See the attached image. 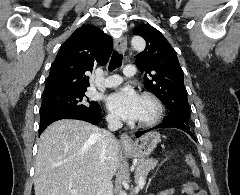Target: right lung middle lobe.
Returning a JSON list of instances; mask_svg holds the SVG:
<instances>
[{
    "instance_id": "right-lung-middle-lobe-1",
    "label": "right lung middle lobe",
    "mask_w": 240,
    "mask_h": 195,
    "mask_svg": "<svg viewBox=\"0 0 240 195\" xmlns=\"http://www.w3.org/2000/svg\"><path fill=\"white\" fill-rule=\"evenodd\" d=\"M86 89H70L43 95L41 116L65 111H100L98 103L85 97Z\"/></svg>"
}]
</instances>
